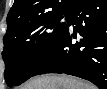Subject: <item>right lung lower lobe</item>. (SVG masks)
Here are the masks:
<instances>
[{"label":"right lung lower lobe","instance_id":"98d812e1","mask_svg":"<svg viewBox=\"0 0 107 89\" xmlns=\"http://www.w3.org/2000/svg\"><path fill=\"white\" fill-rule=\"evenodd\" d=\"M71 24L76 26L70 28ZM77 38V40H75ZM65 73L107 87V1L78 0L69 25L35 75Z\"/></svg>","mask_w":107,"mask_h":89}]
</instances>
